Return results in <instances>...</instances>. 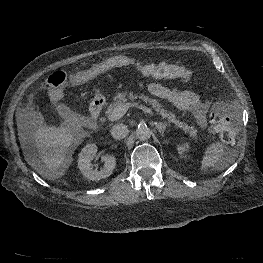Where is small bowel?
<instances>
[{
    "instance_id": "small-bowel-1",
    "label": "small bowel",
    "mask_w": 263,
    "mask_h": 263,
    "mask_svg": "<svg viewBox=\"0 0 263 263\" xmlns=\"http://www.w3.org/2000/svg\"><path fill=\"white\" fill-rule=\"evenodd\" d=\"M148 91L153 96L168 101L178 110L191 112L201 126L206 125L210 104L208 101L203 100L194 90L187 88L170 89L154 82L148 85ZM52 100L54 102L59 101H55L53 97Z\"/></svg>"
}]
</instances>
